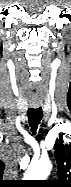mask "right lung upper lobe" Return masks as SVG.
Instances as JSON below:
<instances>
[{"mask_svg":"<svg viewBox=\"0 0 71 187\" xmlns=\"http://www.w3.org/2000/svg\"><path fill=\"white\" fill-rule=\"evenodd\" d=\"M4 170V165L2 166V169H1V171H3Z\"/></svg>","mask_w":71,"mask_h":187,"instance_id":"right-lung-upper-lobe-1","label":"right lung upper lobe"}]
</instances>
